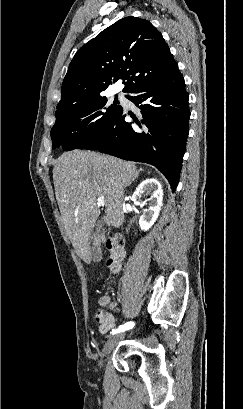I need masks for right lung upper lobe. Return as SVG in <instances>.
Returning <instances> with one entry per match:
<instances>
[{
	"mask_svg": "<svg viewBox=\"0 0 243 409\" xmlns=\"http://www.w3.org/2000/svg\"><path fill=\"white\" fill-rule=\"evenodd\" d=\"M178 64L161 33L147 20L125 17L91 39L73 57L57 109L100 96L123 80V92L161 78Z\"/></svg>",
	"mask_w": 243,
	"mask_h": 409,
	"instance_id": "right-lung-upper-lobe-1",
	"label": "right lung upper lobe"
}]
</instances>
